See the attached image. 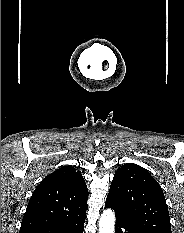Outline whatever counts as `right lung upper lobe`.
<instances>
[{
  "instance_id": "cb5924a9",
  "label": "right lung upper lobe",
  "mask_w": 184,
  "mask_h": 233,
  "mask_svg": "<svg viewBox=\"0 0 184 233\" xmlns=\"http://www.w3.org/2000/svg\"><path fill=\"white\" fill-rule=\"evenodd\" d=\"M88 189L83 176L64 166L46 176L33 192L19 233L68 223L86 216Z\"/></svg>"
}]
</instances>
